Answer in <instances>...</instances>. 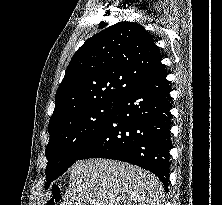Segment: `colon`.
Here are the masks:
<instances>
[{
	"label": "colon",
	"mask_w": 222,
	"mask_h": 205,
	"mask_svg": "<svg viewBox=\"0 0 222 205\" xmlns=\"http://www.w3.org/2000/svg\"><path fill=\"white\" fill-rule=\"evenodd\" d=\"M61 197V190L59 187H55L52 196L47 200L45 205H57Z\"/></svg>",
	"instance_id": "1"
}]
</instances>
